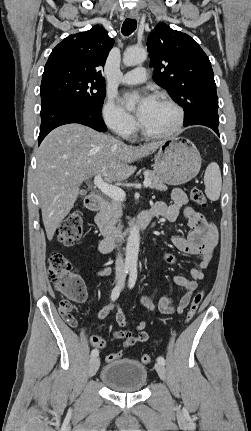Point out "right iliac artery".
Segmentation results:
<instances>
[{
	"instance_id": "82829eb1",
	"label": "right iliac artery",
	"mask_w": 251,
	"mask_h": 431,
	"mask_svg": "<svg viewBox=\"0 0 251 431\" xmlns=\"http://www.w3.org/2000/svg\"><path fill=\"white\" fill-rule=\"evenodd\" d=\"M128 271H129V268L125 267L120 282L112 290V292H111V300L112 301H115L119 297L120 292H121V288H122V284H123V281H124V278L126 277ZM98 354H99L98 349H93L91 351V356L92 357H96V356H98Z\"/></svg>"
}]
</instances>
